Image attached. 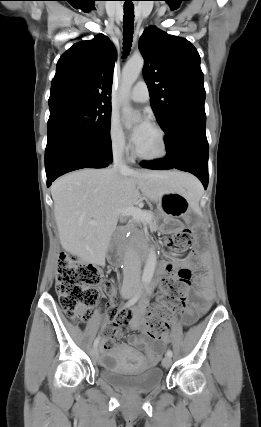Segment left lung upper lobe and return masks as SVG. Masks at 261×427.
I'll return each instance as SVG.
<instances>
[{"mask_svg": "<svg viewBox=\"0 0 261 427\" xmlns=\"http://www.w3.org/2000/svg\"><path fill=\"white\" fill-rule=\"evenodd\" d=\"M139 50L145 59L143 76L150 103L163 130L183 112L205 113L200 56L188 40L152 26L144 30Z\"/></svg>", "mask_w": 261, "mask_h": 427, "instance_id": "left-lung-upper-lobe-1", "label": "left lung upper lobe"}]
</instances>
